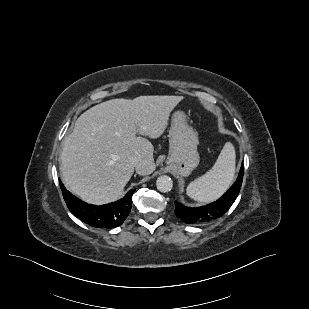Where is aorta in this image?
<instances>
[{
	"mask_svg": "<svg viewBox=\"0 0 309 309\" xmlns=\"http://www.w3.org/2000/svg\"><path fill=\"white\" fill-rule=\"evenodd\" d=\"M156 187L160 192H169L172 190L173 181L167 175H162L157 178Z\"/></svg>",
	"mask_w": 309,
	"mask_h": 309,
	"instance_id": "aorta-1",
	"label": "aorta"
}]
</instances>
